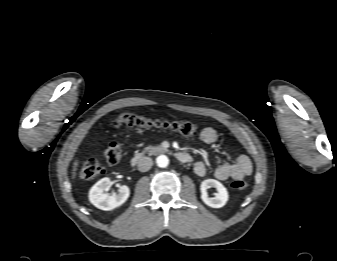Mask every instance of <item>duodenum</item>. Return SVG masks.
Masks as SVG:
<instances>
[{"label": "duodenum", "instance_id": "1", "mask_svg": "<svg viewBox=\"0 0 337 261\" xmlns=\"http://www.w3.org/2000/svg\"><path fill=\"white\" fill-rule=\"evenodd\" d=\"M142 156L140 154H136L131 158V165L137 166L142 161ZM176 158L182 163H188L191 161V156L185 152H178L176 154Z\"/></svg>", "mask_w": 337, "mask_h": 261}]
</instances>
